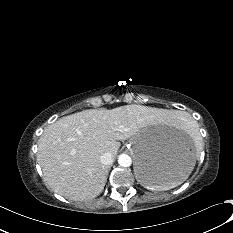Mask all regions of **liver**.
Instances as JSON below:
<instances>
[{"instance_id": "6515ba94", "label": "liver", "mask_w": 233, "mask_h": 233, "mask_svg": "<svg viewBox=\"0 0 233 233\" xmlns=\"http://www.w3.org/2000/svg\"><path fill=\"white\" fill-rule=\"evenodd\" d=\"M179 111L137 104L114 109H88L60 118L38 140V162L46 184L67 199L84 201L99 195L108 167L101 155H117L119 141L134 137L146 127L169 125Z\"/></svg>"}]
</instances>
